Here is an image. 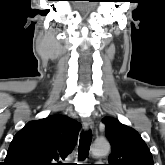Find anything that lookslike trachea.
Segmentation results:
<instances>
[{
	"mask_svg": "<svg viewBox=\"0 0 165 165\" xmlns=\"http://www.w3.org/2000/svg\"><path fill=\"white\" fill-rule=\"evenodd\" d=\"M91 142H92L91 130L84 132L80 135L79 148H78L79 160H85V158L89 152Z\"/></svg>",
	"mask_w": 165,
	"mask_h": 165,
	"instance_id": "obj_1",
	"label": "trachea"
}]
</instances>
